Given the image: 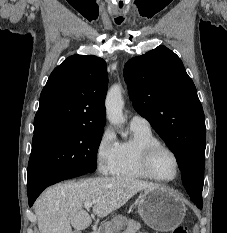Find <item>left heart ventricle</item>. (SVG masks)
I'll list each match as a JSON object with an SVG mask.
<instances>
[{
	"label": "left heart ventricle",
	"instance_id": "1",
	"mask_svg": "<svg viewBox=\"0 0 227 233\" xmlns=\"http://www.w3.org/2000/svg\"><path fill=\"white\" fill-rule=\"evenodd\" d=\"M152 167L160 178L170 179L175 175V161L167 151H159L155 154Z\"/></svg>",
	"mask_w": 227,
	"mask_h": 233
}]
</instances>
